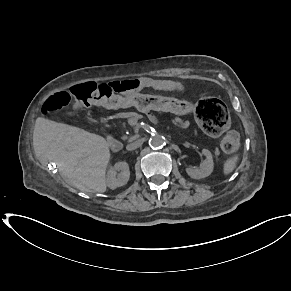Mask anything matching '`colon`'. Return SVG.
Here are the masks:
<instances>
[{"label":"colon","mask_w":291,"mask_h":291,"mask_svg":"<svg viewBox=\"0 0 291 291\" xmlns=\"http://www.w3.org/2000/svg\"><path fill=\"white\" fill-rule=\"evenodd\" d=\"M131 86L125 81L86 82L72 86L50 96L42 106V113L58 111L72 105V111L104 105L111 109L129 108L131 105L141 112H171L175 118H187L194 110L196 121L210 135H218L229 125V114L224 103L213 97L188 101L187 96L172 97L171 93L129 94ZM239 145L236 131L226 133L221 140V148L232 153Z\"/></svg>","instance_id":"5ec220e1"}]
</instances>
